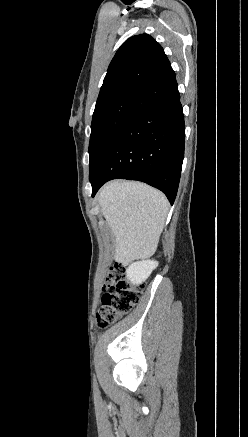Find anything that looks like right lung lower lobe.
<instances>
[{
  "mask_svg": "<svg viewBox=\"0 0 248 437\" xmlns=\"http://www.w3.org/2000/svg\"><path fill=\"white\" fill-rule=\"evenodd\" d=\"M185 124L175 72L168 65L133 102L90 169L92 197L115 178L143 181L173 204L184 157Z\"/></svg>",
  "mask_w": 248,
  "mask_h": 437,
  "instance_id": "obj_1",
  "label": "right lung lower lobe"
}]
</instances>
